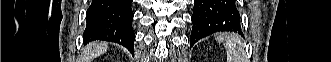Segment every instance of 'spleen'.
<instances>
[{"label":"spleen","mask_w":331,"mask_h":62,"mask_svg":"<svg viewBox=\"0 0 331 62\" xmlns=\"http://www.w3.org/2000/svg\"><path fill=\"white\" fill-rule=\"evenodd\" d=\"M223 39V36L217 37L219 43L223 42ZM225 48L228 62H246L244 45L236 34H230L226 37Z\"/></svg>","instance_id":"1"}]
</instances>
